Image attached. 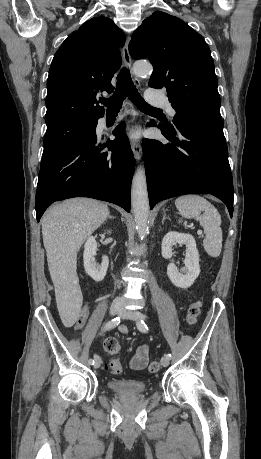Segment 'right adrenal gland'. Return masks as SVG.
<instances>
[{"instance_id":"2a0ac1e0","label":"right adrenal gland","mask_w":261,"mask_h":459,"mask_svg":"<svg viewBox=\"0 0 261 459\" xmlns=\"http://www.w3.org/2000/svg\"><path fill=\"white\" fill-rule=\"evenodd\" d=\"M108 218H109V219H114L115 217H114V216H111V215H109V216H108Z\"/></svg>"}]
</instances>
